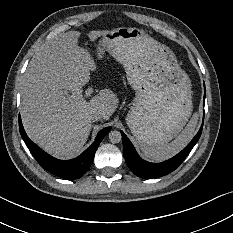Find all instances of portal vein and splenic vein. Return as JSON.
<instances>
[{
	"mask_svg": "<svg viewBox=\"0 0 233 233\" xmlns=\"http://www.w3.org/2000/svg\"><path fill=\"white\" fill-rule=\"evenodd\" d=\"M92 93H93V89H92V88H88V89L85 91V97H90ZM68 94H69L68 91H64V95H68Z\"/></svg>",
	"mask_w": 233,
	"mask_h": 233,
	"instance_id": "obj_1",
	"label": "portal vein and splenic vein"
}]
</instances>
